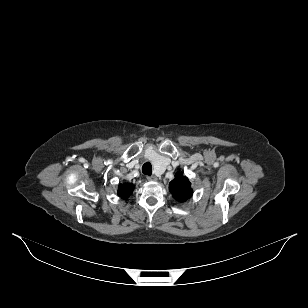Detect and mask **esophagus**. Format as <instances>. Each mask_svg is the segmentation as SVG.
Returning <instances> with one entry per match:
<instances>
[{
	"label": "esophagus",
	"instance_id": "esophagus-1",
	"mask_svg": "<svg viewBox=\"0 0 308 308\" xmlns=\"http://www.w3.org/2000/svg\"><path fill=\"white\" fill-rule=\"evenodd\" d=\"M147 180L148 181H156L157 180V177L152 175V176H147Z\"/></svg>",
	"mask_w": 308,
	"mask_h": 308
}]
</instances>
